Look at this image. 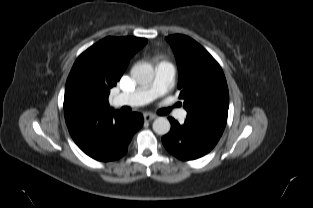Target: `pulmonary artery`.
<instances>
[{
	"mask_svg": "<svg viewBox=\"0 0 313 208\" xmlns=\"http://www.w3.org/2000/svg\"><path fill=\"white\" fill-rule=\"evenodd\" d=\"M153 82L145 87L129 93L117 94L113 99L115 106H142L157 97L164 95L171 88L175 74L174 66L169 62H161L155 67ZM184 110L178 111V117L183 118Z\"/></svg>",
	"mask_w": 313,
	"mask_h": 208,
	"instance_id": "e3ab8cb5",
	"label": "pulmonary artery"
}]
</instances>
